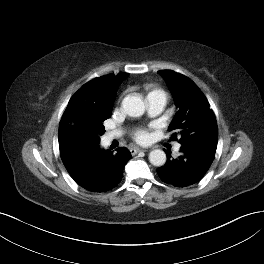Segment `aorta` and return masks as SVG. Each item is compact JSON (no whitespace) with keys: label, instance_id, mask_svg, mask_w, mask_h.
<instances>
[{"label":"aorta","instance_id":"762f6f07","mask_svg":"<svg viewBox=\"0 0 264 264\" xmlns=\"http://www.w3.org/2000/svg\"><path fill=\"white\" fill-rule=\"evenodd\" d=\"M122 107L131 117H139L145 112L143 100L135 95H127L122 101ZM149 161L154 166H162L166 162V154L160 149L153 150L149 153Z\"/></svg>","mask_w":264,"mask_h":264}]
</instances>
